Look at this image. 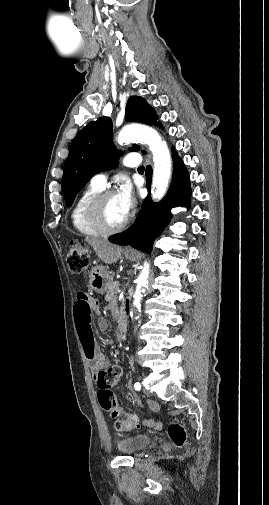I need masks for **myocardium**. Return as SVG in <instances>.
Masks as SVG:
<instances>
[{
  "label": "myocardium",
  "instance_id": "myocardium-1",
  "mask_svg": "<svg viewBox=\"0 0 269 505\" xmlns=\"http://www.w3.org/2000/svg\"><path fill=\"white\" fill-rule=\"evenodd\" d=\"M114 194L113 190L101 191L91 200L87 208V217L90 223L100 233L105 235L116 234L122 231L129 223L128 218L117 226H110L106 223L103 217V205L105 200Z\"/></svg>",
  "mask_w": 269,
  "mask_h": 505
}]
</instances>
